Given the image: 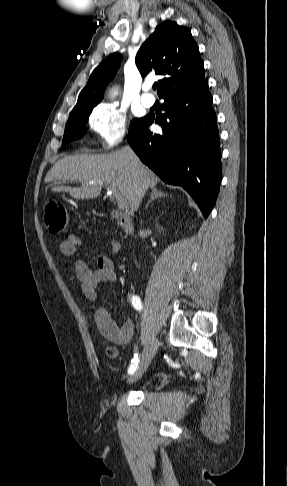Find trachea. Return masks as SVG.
Listing matches in <instances>:
<instances>
[{
  "instance_id": "obj_1",
  "label": "trachea",
  "mask_w": 287,
  "mask_h": 486,
  "mask_svg": "<svg viewBox=\"0 0 287 486\" xmlns=\"http://www.w3.org/2000/svg\"><path fill=\"white\" fill-rule=\"evenodd\" d=\"M157 88V83L153 85V89L155 90Z\"/></svg>"
}]
</instances>
